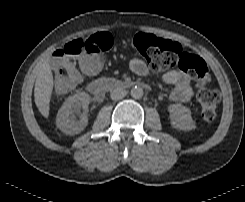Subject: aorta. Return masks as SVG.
<instances>
[{
	"instance_id": "aorta-1",
	"label": "aorta",
	"mask_w": 245,
	"mask_h": 202,
	"mask_svg": "<svg viewBox=\"0 0 245 202\" xmlns=\"http://www.w3.org/2000/svg\"><path fill=\"white\" fill-rule=\"evenodd\" d=\"M143 93H144V92H143V89H142L141 87H139V86L133 87V88L131 89V92H130L131 96H132L134 99H140V98H142Z\"/></svg>"
}]
</instances>
